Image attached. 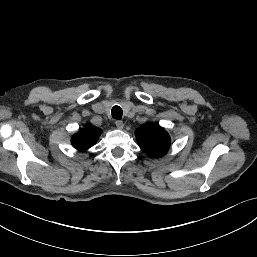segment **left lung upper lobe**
Instances as JSON below:
<instances>
[{
    "instance_id": "left-lung-upper-lobe-1",
    "label": "left lung upper lobe",
    "mask_w": 257,
    "mask_h": 257,
    "mask_svg": "<svg viewBox=\"0 0 257 257\" xmlns=\"http://www.w3.org/2000/svg\"><path fill=\"white\" fill-rule=\"evenodd\" d=\"M139 147L151 157L164 155L170 147V136L161 127L151 123L140 126L135 131Z\"/></svg>"
}]
</instances>
